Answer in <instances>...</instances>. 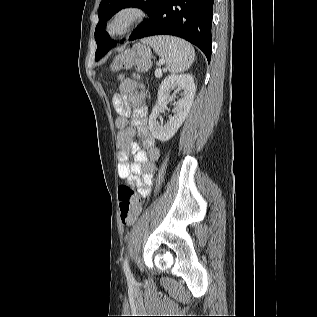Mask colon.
<instances>
[{"label":"colon","mask_w":317,"mask_h":317,"mask_svg":"<svg viewBox=\"0 0 317 317\" xmlns=\"http://www.w3.org/2000/svg\"><path fill=\"white\" fill-rule=\"evenodd\" d=\"M148 61L145 59H139L136 66L139 70H144L148 67ZM130 66V57L127 54H122L117 56L112 65L111 69L113 72H118L122 69L128 68ZM118 200H119V210L120 219L124 225L133 224L138 218L142 204L140 199L137 197L133 188L125 183L118 188Z\"/></svg>","instance_id":"1"}]
</instances>
